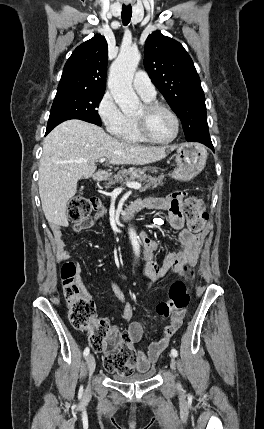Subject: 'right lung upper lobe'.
<instances>
[{
  "instance_id": "right-lung-upper-lobe-1",
  "label": "right lung upper lobe",
  "mask_w": 264,
  "mask_h": 429,
  "mask_svg": "<svg viewBox=\"0 0 264 429\" xmlns=\"http://www.w3.org/2000/svg\"><path fill=\"white\" fill-rule=\"evenodd\" d=\"M108 48L104 36L95 35L78 46L67 60L58 85L61 90L104 92Z\"/></svg>"
}]
</instances>
